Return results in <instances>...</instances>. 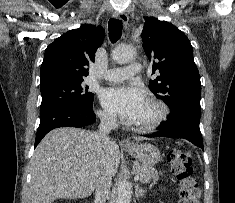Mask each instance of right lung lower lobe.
Returning <instances> with one entry per match:
<instances>
[{
    "label": "right lung lower lobe",
    "instance_id": "right-lung-lower-lobe-1",
    "mask_svg": "<svg viewBox=\"0 0 235 203\" xmlns=\"http://www.w3.org/2000/svg\"><path fill=\"white\" fill-rule=\"evenodd\" d=\"M96 116L92 105L80 106L62 104L40 112V125L37 130L35 147L52 129L59 127H85L93 124Z\"/></svg>",
    "mask_w": 235,
    "mask_h": 203
}]
</instances>
